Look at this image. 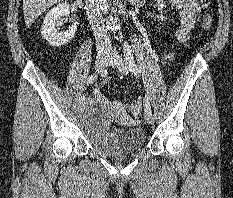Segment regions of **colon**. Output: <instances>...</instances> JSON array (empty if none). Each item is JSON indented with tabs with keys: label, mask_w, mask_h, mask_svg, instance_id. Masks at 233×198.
I'll use <instances>...</instances> for the list:
<instances>
[{
	"label": "colon",
	"mask_w": 233,
	"mask_h": 198,
	"mask_svg": "<svg viewBox=\"0 0 233 198\" xmlns=\"http://www.w3.org/2000/svg\"><path fill=\"white\" fill-rule=\"evenodd\" d=\"M200 3L203 8L207 9L210 5V0H200ZM213 24L212 17L209 14H206L203 17L202 26L204 30L208 31L211 29ZM129 111L132 116L137 117L140 115L142 110V103L139 99L133 100L128 105Z\"/></svg>",
	"instance_id": "1"
}]
</instances>
